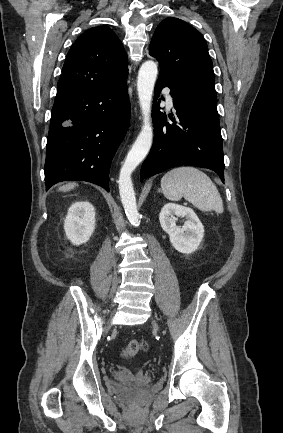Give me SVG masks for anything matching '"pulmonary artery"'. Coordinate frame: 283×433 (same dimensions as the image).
<instances>
[{
  "label": "pulmonary artery",
  "instance_id": "obj_1",
  "mask_svg": "<svg viewBox=\"0 0 283 433\" xmlns=\"http://www.w3.org/2000/svg\"><path fill=\"white\" fill-rule=\"evenodd\" d=\"M163 93H166V90H163ZM165 98H166V106H167L169 109H173V110H174V101H173V97H172L169 93H167V94L165 95Z\"/></svg>",
  "mask_w": 283,
  "mask_h": 433
}]
</instances>
